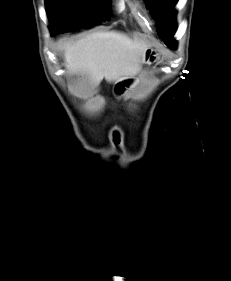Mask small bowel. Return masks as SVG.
Here are the masks:
<instances>
[{
  "label": "small bowel",
  "mask_w": 231,
  "mask_h": 281,
  "mask_svg": "<svg viewBox=\"0 0 231 281\" xmlns=\"http://www.w3.org/2000/svg\"><path fill=\"white\" fill-rule=\"evenodd\" d=\"M132 83V80L131 79H125V80H122L120 82L117 83L116 85V89L118 92H121L123 91L125 88H127L128 86H130Z\"/></svg>",
  "instance_id": "small-bowel-1"
}]
</instances>
